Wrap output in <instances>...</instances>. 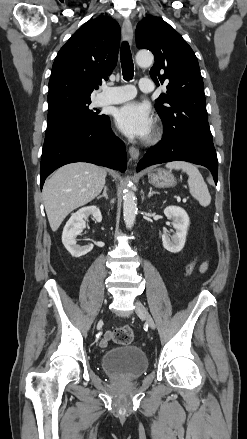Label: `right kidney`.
<instances>
[{"label": "right kidney", "instance_id": "right-kidney-1", "mask_svg": "<svg viewBox=\"0 0 247 439\" xmlns=\"http://www.w3.org/2000/svg\"><path fill=\"white\" fill-rule=\"evenodd\" d=\"M92 215L97 222L102 221L100 209L97 206H87L72 214L62 233V243L73 257L86 255L93 249V245H77L76 237L85 228L88 217Z\"/></svg>", "mask_w": 247, "mask_h": 439}]
</instances>
